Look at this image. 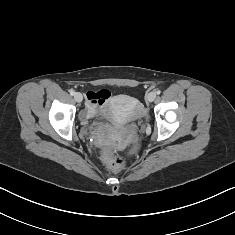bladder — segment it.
Instances as JSON below:
<instances>
[{"label":"bladder","mask_w":235,"mask_h":235,"mask_svg":"<svg viewBox=\"0 0 235 235\" xmlns=\"http://www.w3.org/2000/svg\"><path fill=\"white\" fill-rule=\"evenodd\" d=\"M122 100H125V101L129 100V101L135 102V100L132 98H127V97L121 96L118 99H116L115 101H113L110 105L116 107L118 102H120ZM104 113L106 114V116L104 117L105 119H107L109 121H114L116 119V116L113 114V111L108 108L107 104L104 106Z\"/></svg>","instance_id":"obj_1"}]
</instances>
